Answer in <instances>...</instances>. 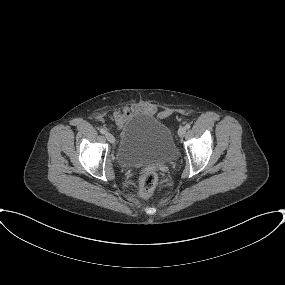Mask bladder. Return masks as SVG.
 Segmentation results:
<instances>
[{
  "label": "bladder",
  "mask_w": 285,
  "mask_h": 285,
  "mask_svg": "<svg viewBox=\"0 0 285 285\" xmlns=\"http://www.w3.org/2000/svg\"><path fill=\"white\" fill-rule=\"evenodd\" d=\"M178 148L170 128L156 116L134 112L125 122L118 147V162L125 168L172 163Z\"/></svg>",
  "instance_id": "31cf9c89"
}]
</instances>
